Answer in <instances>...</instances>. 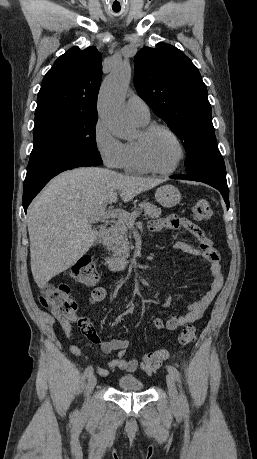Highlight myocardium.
Segmentation results:
<instances>
[{
	"instance_id": "obj_1",
	"label": "myocardium",
	"mask_w": 257,
	"mask_h": 459,
	"mask_svg": "<svg viewBox=\"0 0 257 459\" xmlns=\"http://www.w3.org/2000/svg\"><path fill=\"white\" fill-rule=\"evenodd\" d=\"M157 131H164L167 134H169L173 138L179 149V157L175 164L169 169H160L154 166L147 154V141ZM135 145L141 164L148 171L161 175H168L175 172L182 164L186 155L185 147L179 136L168 126L159 123H152L144 126L140 131L139 138L135 141Z\"/></svg>"
}]
</instances>
